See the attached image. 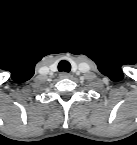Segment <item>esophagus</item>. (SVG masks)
<instances>
[{
	"label": "esophagus",
	"mask_w": 137,
	"mask_h": 145,
	"mask_svg": "<svg viewBox=\"0 0 137 145\" xmlns=\"http://www.w3.org/2000/svg\"><path fill=\"white\" fill-rule=\"evenodd\" d=\"M59 76L60 78L64 79V78H69L71 75L67 72H61Z\"/></svg>",
	"instance_id": "34e87169"
}]
</instances>
